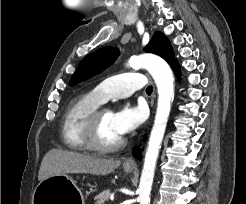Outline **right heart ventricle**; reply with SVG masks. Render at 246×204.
I'll return each mask as SVG.
<instances>
[{
    "instance_id": "e07e8e85",
    "label": "right heart ventricle",
    "mask_w": 246,
    "mask_h": 204,
    "mask_svg": "<svg viewBox=\"0 0 246 204\" xmlns=\"http://www.w3.org/2000/svg\"><path fill=\"white\" fill-rule=\"evenodd\" d=\"M100 105V100L92 92L71 101L64 115L61 131L66 147L76 151L88 149L84 141V129L89 117Z\"/></svg>"
}]
</instances>
